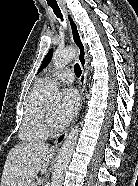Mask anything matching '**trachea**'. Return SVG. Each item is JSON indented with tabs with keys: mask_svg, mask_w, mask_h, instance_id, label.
<instances>
[{
	"mask_svg": "<svg viewBox=\"0 0 138 186\" xmlns=\"http://www.w3.org/2000/svg\"><path fill=\"white\" fill-rule=\"evenodd\" d=\"M48 5L53 9L55 15L63 21V15L57 2H48ZM74 72L78 78L81 76L82 70L78 63L74 65Z\"/></svg>",
	"mask_w": 138,
	"mask_h": 186,
	"instance_id": "obj_1",
	"label": "trachea"
}]
</instances>
